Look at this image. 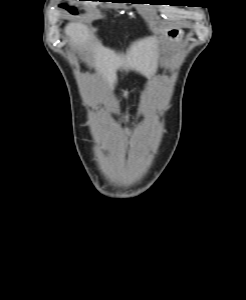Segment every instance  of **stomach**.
Masks as SVG:
<instances>
[{"instance_id":"1","label":"stomach","mask_w":246,"mask_h":300,"mask_svg":"<svg viewBox=\"0 0 246 300\" xmlns=\"http://www.w3.org/2000/svg\"><path fill=\"white\" fill-rule=\"evenodd\" d=\"M183 32L178 29H172L167 32V38L170 42L177 41L182 38Z\"/></svg>"}]
</instances>
